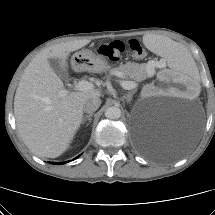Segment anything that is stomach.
<instances>
[{
    "label": "stomach",
    "instance_id": "obj_1",
    "mask_svg": "<svg viewBox=\"0 0 215 215\" xmlns=\"http://www.w3.org/2000/svg\"><path fill=\"white\" fill-rule=\"evenodd\" d=\"M72 65L77 70L95 73L107 72L110 69V65L105 58L88 49L76 52L72 56Z\"/></svg>",
    "mask_w": 215,
    "mask_h": 215
}]
</instances>
